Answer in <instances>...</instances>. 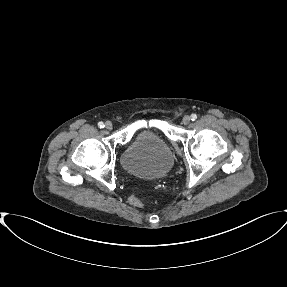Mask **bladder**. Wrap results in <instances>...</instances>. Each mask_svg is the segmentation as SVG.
I'll use <instances>...</instances> for the list:
<instances>
[{
  "instance_id": "bladder-1",
  "label": "bladder",
  "mask_w": 287,
  "mask_h": 287,
  "mask_svg": "<svg viewBox=\"0 0 287 287\" xmlns=\"http://www.w3.org/2000/svg\"><path fill=\"white\" fill-rule=\"evenodd\" d=\"M121 162L131 174L154 179L169 172L173 164V155L157 132L144 130L135 136L125 150Z\"/></svg>"
}]
</instances>
